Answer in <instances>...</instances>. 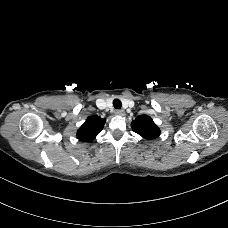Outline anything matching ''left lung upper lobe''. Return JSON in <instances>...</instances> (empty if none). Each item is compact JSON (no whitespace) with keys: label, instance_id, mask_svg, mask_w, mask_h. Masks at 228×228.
Masks as SVG:
<instances>
[{"label":"left lung upper lobe","instance_id":"left-lung-upper-lobe-1","mask_svg":"<svg viewBox=\"0 0 228 228\" xmlns=\"http://www.w3.org/2000/svg\"><path fill=\"white\" fill-rule=\"evenodd\" d=\"M134 132L145 139L152 140L160 135V129L147 115H140L131 123Z\"/></svg>","mask_w":228,"mask_h":228}]
</instances>
